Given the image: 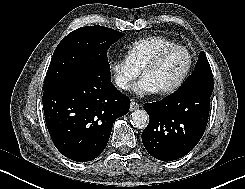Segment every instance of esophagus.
I'll return each mask as SVG.
<instances>
[{"label":"esophagus","instance_id":"esophagus-1","mask_svg":"<svg viewBox=\"0 0 245 189\" xmlns=\"http://www.w3.org/2000/svg\"><path fill=\"white\" fill-rule=\"evenodd\" d=\"M140 108V105L134 101H131L130 103V111H134Z\"/></svg>","mask_w":245,"mask_h":189}]
</instances>
